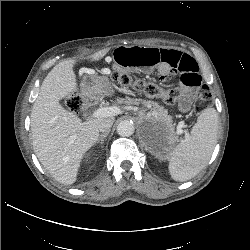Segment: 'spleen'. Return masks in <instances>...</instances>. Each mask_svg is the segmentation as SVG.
<instances>
[{
	"mask_svg": "<svg viewBox=\"0 0 250 250\" xmlns=\"http://www.w3.org/2000/svg\"><path fill=\"white\" fill-rule=\"evenodd\" d=\"M218 125V113L214 108L200 113L191 134L166 156L172 179L190 180L204 168L217 142Z\"/></svg>",
	"mask_w": 250,
	"mask_h": 250,
	"instance_id": "spleen-1",
	"label": "spleen"
}]
</instances>
